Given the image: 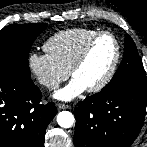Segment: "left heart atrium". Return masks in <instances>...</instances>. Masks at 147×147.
<instances>
[{"instance_id":"39dd6f15","label":"left heart atrium","mask_w":147,"mask_h":147,"mask_svg":"<svg viewBox=\"0 0 147 147\" xmlns=\"http://www.w3.org/2000/svg\"><path fill=\"white\" fill-rule=\"evenodd\" d=\"M86 89V86L81 81L77 78H72L66 86L54 94V97L62 101H71L81 95Z\"/></svg>"}]
</instances>
